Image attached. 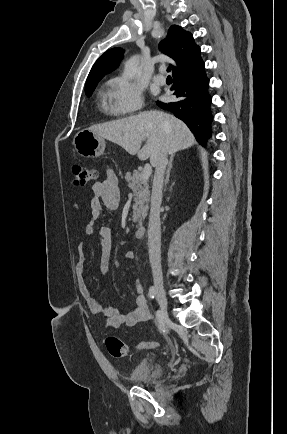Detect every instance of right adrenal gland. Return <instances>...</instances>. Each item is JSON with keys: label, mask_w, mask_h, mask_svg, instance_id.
<instances>
[{"label": "right adrenal gland", "mask_w": 287, "mask_h": 434, "mask_svg": "<svg viewBox=\"0 0 287 434\" xmlns=\"http://www.w3.org/2000/svg\"><path fill=\"white\" fill-rule=\"evenodd\" d=\"M173 156L170 157L169 162H168V169L166 172V179H165V185L169 182V178H170V171L172 168V162H173Z\"/></svg>", "instance_id": "right-adrenal-gland-1"}]
</instances>
